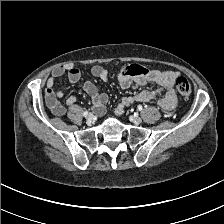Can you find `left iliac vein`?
Segmentation results:
<instances>
[{
  "label": "left iliac vein",
  "instance_id": "4c4485c4",
  "mask_svg": "<svg viewBox=\"0 0 224 224\" xmlns=\"http://www.w3.org/2000/svg\"><path fill=\"white\" fill-rule=\"evenodd\" d=\"M130 121L135 124H140L142 122V119L138 116H130Z\"/></svg>",
  "mask_w": 224,
  "mask_h": 224
}]
</instances>
